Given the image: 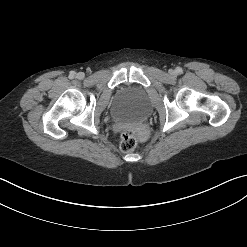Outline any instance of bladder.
Returning a JSON list of instances; mask_svg holds the SVG:
<instances>
[{
	"instance_id": "31cf9c89",
	"label": "bladder",
	"mask_w": 247,
	"mask_h": 247,
	"mask_svg": "<svg viewBox=\"0 0 247 247\" xmlns=\"http://www.w3.org/2000/svg\"><path fill=\"white\" fill-rule=\"evenodd\" d=\"M150 110L151 103L145 88L126 85L117 91L111 114L116 120L135 122L145 119Z\"/></svg>"
}]
</instances>
